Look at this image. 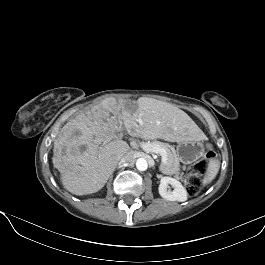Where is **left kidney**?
<instances>
[{
	"label": "left kidney",
	"instance_id": "5707ae66",
	"mask_svg": "<svg viewBox=\"0 0 265 265\" xmlns=\"http://www.w3.org/2000/svg\"><path fill=\"white\" fill-rule=\"evenodd\" d=\"M168 185H171L174 190L170 191ZM158 191L160 196L168 201L184 202L187 200V190L177 179L172 177H162Z\"/></svg>",
	"mask_w": 265,
	"mask_h": 265
}]
</instances>
